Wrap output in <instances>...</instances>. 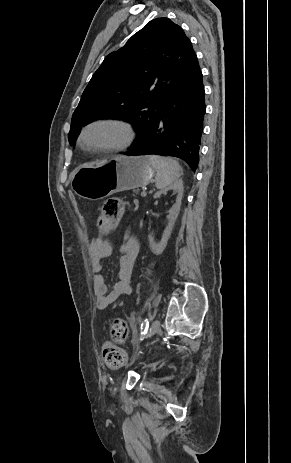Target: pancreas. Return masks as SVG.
<instances>
[{
    "label": "pancreas",
    "mask_w": 291,
    "mask_h": 463,
    "mask_svg": "<svg viewBox=\"0 0 291 463\" xmlns=\"http://www.w3.org/2000/svg\"><path fill=\"white\" fill-rule=\"evenodd\" d=\"M134 192H135L134 196H136L138 194V191H134Z\"/></svg>",
    "instance_id": "obj_1"
}]
</instances>
